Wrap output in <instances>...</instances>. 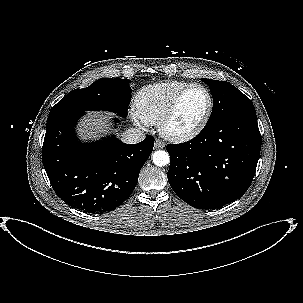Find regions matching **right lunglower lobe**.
I'll return each instance as SVG.
<instances>
[{"label":"right lung lower lobe","mask_w":303,"mask_h":303,"mask_svg":"<svg viewBox=\"0 0 303 303\" xmlns=\"http://www.w3.org/2000/svg\"><path fill=\"white\" fill-rule=\"evenodd\" d=\"M83 114L48 117L42 161L57 196L76 209L100 214L131 195L153 150L154 137L137 144H124L115 136L82 144L75 125Z\"/></svg>","instance_id":"right-lung-lower-lobe-1"}]
</instances>
